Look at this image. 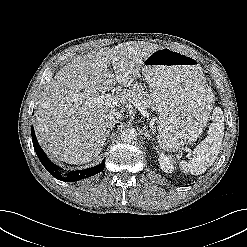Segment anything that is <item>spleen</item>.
<instances>
[{
  "mask_svg": "<svg viewBox=\"0 0 247 247\" xmlns=\"http://www.w3.org/2000/svg\"><path fill=\"white\" fill-rule=\"evenodd\" d=\"M224 117L221 108L213 111V122L209 126L207 137L194 149L193 157L189 162H180L184 173L200 175L215 162L224 137Z\"/></svg>",
  "mask_w": 247,
  "mask_h": 247,
  "instance_id": "1",
  "label": "spleen"
}]
</instances>
